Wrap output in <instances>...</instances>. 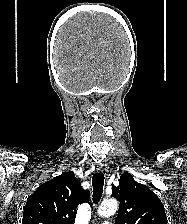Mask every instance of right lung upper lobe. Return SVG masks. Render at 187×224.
<instances>
[{
  "mask_svg": "<svg viewBox=\"0 0 187 224\" xmlns=\"http://www.w3.org/2000/svg\"><path fill=\"white\" fill-rule=\"evenodd\" d=\"M89 200L73 172H65L40 185L27 199L22 224H73L76 208Z\"/></svg>",
  "mask_w": 187,
  "mask_h": 224,
  "instance_id": "cb5924a9",
  "label": "right lung upper lobe"
}]
</instances>
